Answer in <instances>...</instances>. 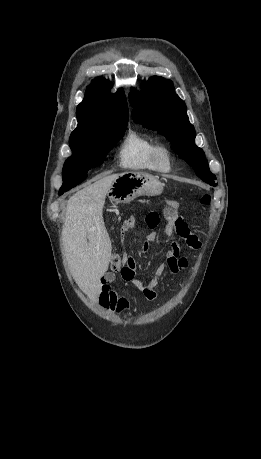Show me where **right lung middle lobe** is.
Returning <instances> with one entry per match:
<instances>
[{
	"label": "right lung middle lobe",
	"instance_id": "1",
	"mask_svg": "<svg viewBox=\"0 0 261 459\" xmlns=\"http://www.w3.org/2000/svg\"><path fill=\"white\" fill-rule=\"evenodd\" d=\"M126 124L83 131L70 137L72 156L63 167V185L59 195L86 179L87 172L105 160L110 149L122 138Z\"/></svg>",
	"mask_w": 261,
	"mask_h": 459
}]
</instances>
